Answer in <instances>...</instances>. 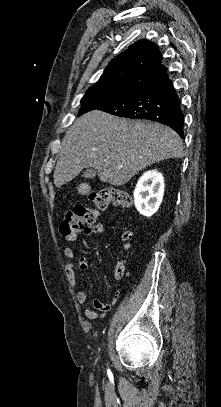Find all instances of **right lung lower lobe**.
<instances>
[{
  "label": "right lung lower lobe",
  "instance_id": "right-lung-lower-lobe-1",
  "mask_svg": "<svg viewBox=\"0 0 221 407\" xmlns=\"http://www.w3.org/2000/svg\"><path fill=\"white\" fill-rule=\"evenodd\" d=\"M98 110L119 117L156 121L171 127L183 136L184 116L180 99L166 70Z\"/></svg>",
  "mask_w": 221,
  "mask_h": 407
}]
</instances>
